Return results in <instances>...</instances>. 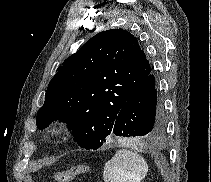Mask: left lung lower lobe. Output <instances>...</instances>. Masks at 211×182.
<instances>
[{
	"mask_svg": "<svg viewBox=\"0 0 211 182\" xmlns=\"http://www.w3.org/2000/svg\"><path fill=\"white\" fill-rule=\"evenodd\" d=\"M165 125L163 102L151 70L142 86L119 111L111 134L153 141L163 134Z\"/></svg>",
	"mask_w": 211,
	"mask_h": 182,
	"instance_id": "obj_1",
	"label": "left lung lower lobe"
}]
</instances>
